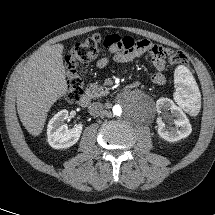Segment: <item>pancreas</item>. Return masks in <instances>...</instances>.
Returning a JSON list of instances; mask_svg holds the SVG:
<instances>
[{"label":"pancreas","mask_w":215,"mask_h":215,"mask_svg":"<svg viewBox=\"0 0 215 215\" xmlns=\"http://www.w3.org/2000/svg\"><path fill=\"white\" fill-rule=\"evenodd\" d=\"M86 92L92 98L105 96L109 93L108 88L96 84H90V88Z\"/></svg>","instance_id":"cf45deb5"}]
</instances>
